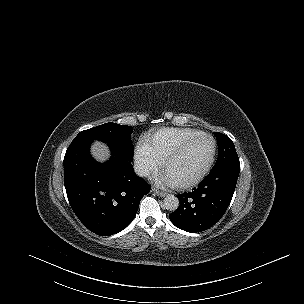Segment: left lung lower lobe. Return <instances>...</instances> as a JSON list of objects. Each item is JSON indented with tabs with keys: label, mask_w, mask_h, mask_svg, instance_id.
I'll return each mask as SVG.
<instances>
[{
	"label": "left lung lower lobe",
	"mask_w": 304,
	"mask_h": 304,
	"mask_svg": "<svg viewBox=\"0 0 304 304\" xmlns=\"http://www.w3.org/2000/svg\"><path fill=\"white\" fill-rule=\"evenodd\" d=\"M239 172V161L211 170L192 192L177 195L180 206L169 214L171 222L187 232H201L216 224L231 202Z\"/></svg>",
	"instance_id": "0a47b994"
}]
</instances>
